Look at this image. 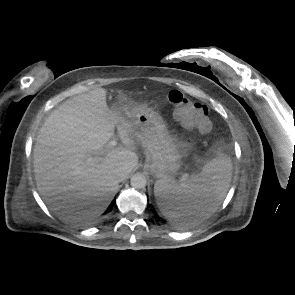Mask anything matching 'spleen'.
<instances>
[{"instance_id": "3e777b00", "label": "spleen", "mask_w": 295, "mask_h": 295, "mask_svg": "<svg viewBox=\"0 0 295 295\" xmlns=\"http://www.w3.org/2000/svg\"><path fill=\"white\" fill-rule=\"evenodd\" d=\"M232 175L231 160L221 153L208 161L198 175L182 179L179 183L172 179L155 182L154 193L158 205L166 210L163 215L182 226L195 225L207 214H192L199 205H215L224 197Z\"/></svg>"}]
</instances>
